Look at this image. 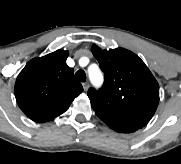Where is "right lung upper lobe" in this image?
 Here are the masks:
<instances>
[{
    "label": "right lung upper lobe",
    "mask_w": 181,
    "mask_h": 164,
    "mask_svg": "<svg viewBox=\"0 0 181 164\" xmlns=\"http://www.w3.org/2000/svg\"><path fill=\"white\" fill-rule=\"evenodd\" d=\"M69 52L57 50L29 61L15 83L20 109L33 121L43 123L64 113L83 91L67 66Z\"/></svg>",
    "instance_id": "cb5924a9"
}]
</instances>
